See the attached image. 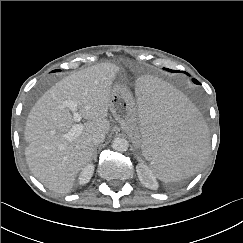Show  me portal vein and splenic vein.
Wrapping results in <instances>:
<instances>
[{
	"label": "portal vein and splenic vein",
	"instance_id": "18ae733b",
	"mask_svg": "<svg viewBox=\"0 0 243 243\" xmlns=\"http://www.w3.org/2000/svg\"><path fill=\"white\" fill-rule=\"evenodd\" d=\"M64 105L68 107L73 113V119L75 122H80L82 119L81 114L78 112V105L73 101H65ZM83 130V125L80 123L74 124L72 128L64 134V137L68 140H72L79 136Z\"/></svg>",
	"mask_w": 243,
	"mask_h": 243
}]
</instances>
